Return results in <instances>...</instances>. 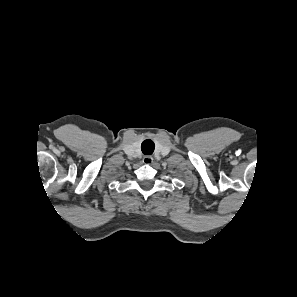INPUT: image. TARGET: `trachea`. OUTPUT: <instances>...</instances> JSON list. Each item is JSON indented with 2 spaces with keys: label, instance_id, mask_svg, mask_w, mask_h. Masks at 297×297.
I'll return each instance as SVG.
<instances>
[{
  "label": "trachea",
  "instance_id": "1",
  "mask_svg": "<svg viewBox=\"0 0 297 297\" xmlns=\"http://www.w3.org/2000/svg\"><path fill=\"white\" fill-rule=\"evenodd\" d=\"M141 149L145 155H151L155 149V144L152 140L147 139L142 142Z\"/></svg>",
  "mask_w": 297,
  "mask_h": 297
}]
</instances>
